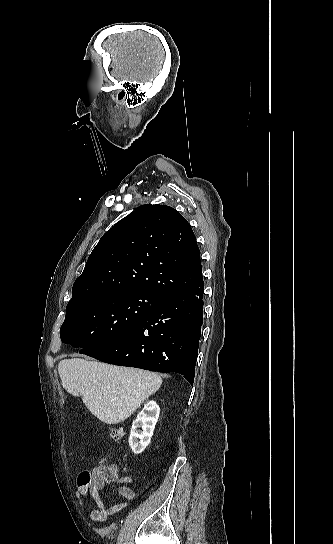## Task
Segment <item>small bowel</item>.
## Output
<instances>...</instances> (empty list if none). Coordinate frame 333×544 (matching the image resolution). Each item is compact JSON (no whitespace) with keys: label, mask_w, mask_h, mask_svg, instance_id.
Here are the masks:
<instances>
[{"label":"small bowel","mask_w":333,"mask_h":544,"mask_svg":"<svg viewBox=\"0 0 333 544\" xmlns=\"http://www.w3.org/2000/svg\"><path fill=\"white\" fill-rule=\"evenodd\" d=\"M92 472L96 473L98 471V466L92 467ZM116 478L114 482L118 485L117 493L126 499V501H131L136 497L135 492L128 487L126 484L129 481L127 477H119L118 470L116 468ZM105 483L99 482L93 485H83L79 484L77 490L75 491L76 498L79 501L80 506L84 509L85 503L84 499L88 496L92 498L95 503V507L90 512V518L94 522H104L109 517H112L121 511H123L127 502L113 505L111 507H106L103 500L101 499V490L104 487Z\"/></svg>","instance_id":"obj_1"}]
</instances>
